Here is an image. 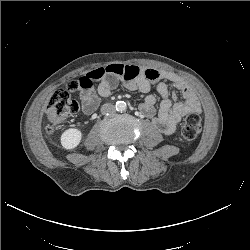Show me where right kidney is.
<instances>
[{
  "mask_svg": "<svg viewBox=\"0 0 250 250\" xmlns=\"http://www.w3.org/2000/svg\"><path fill=\"white\" fill-rule=\"evenodd\" d=\"M82 139V133L76 128L65 130L61 135V144L65 149H74Z\"/></svg>",
  "mask_w": 250,
  "mask_h": 250,
  "instance_id": "1",
  "label": "right kidney"
}]
</instances>
